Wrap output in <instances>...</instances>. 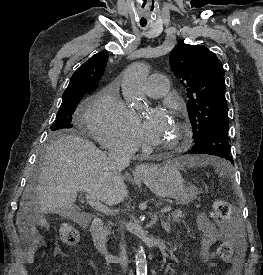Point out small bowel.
I'll use <instances>...</instances> for the list:
<instances>
[{
    "label": "small bowel",
    "instance_id": "1",
    "mask_svg": "<svg viewBox=\"0 0 263 275\" xmlns=\"http://www.w3.org/2000/svg\"><path fill=\"white\" fill-rule=\"evenodd\" d=\"M197 227L202 236V239H201L202 258L204 260H209L213 257L212 248L218 241V229L204 214H200L197 217ZM38 245H39V236L34 231H31L30 245L23 256V260L18 271L19 275H30V273L25 268V265L33 261ZM59 253L60 251L56 250V254H59ZM238 265H239V262L235 264L233 269L236 274L238 273ZM209 275H212V274H209Z\"/></svg>",
    "mask_w": 263,
    "mask_h": 275
}]
</instances>
